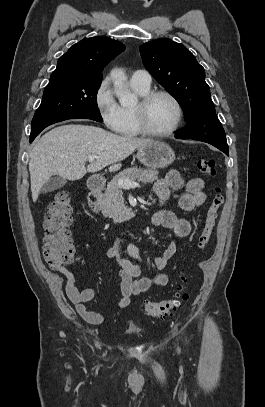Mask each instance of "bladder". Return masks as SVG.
Returning <instances> with one entry per match:
<instances>
[{
    "label": "bladder",
    "instance_id": "bladder-1",
    "mask_svg": "<svg viewBox=\"0 0 265 407\" xmlns=\"http://www.w3.org/2000/svg\"><path fill=\"white\" fill-rule=\"evenodd\" d=\"M127 333L129 334H138L139 333V328L136 326H129L127 328Z\"/></svg>",
    "mask_w": 265,
    "mask_h": 407
}]
</instances>
